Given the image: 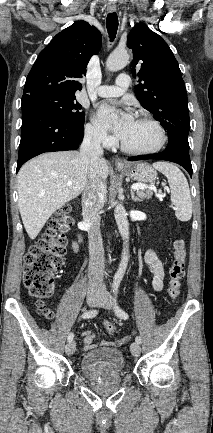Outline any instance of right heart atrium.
<instances>
[{
    "instance_id": "right-heart-atrium-1",
    "label": "right heart atrium",
    "mask_w": 213,
    "mask_h": 433,
    "mask_svg": "<svg viewBox=\"0 0 213 433\" xmlns=\"http://www.w3.org/2000/svg\"><path fill=\"white\" fill-rule=\"evenodd\" d=\"M85 135L90 141L97 144L110 146L113 143L112 137H110L104 129L94 123H89L86 125Z\"/></svg>"
}]
</instances>
